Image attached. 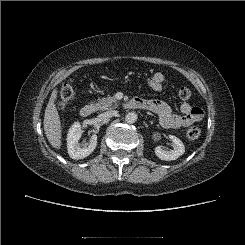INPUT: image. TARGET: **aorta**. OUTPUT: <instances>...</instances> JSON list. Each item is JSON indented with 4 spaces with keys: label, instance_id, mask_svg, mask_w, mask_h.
<instances>
[{
    "label": "aorta",
    "instance_id": "762f6f07",
    "mask_svg": "<svg viewBox=\"0 0 245 245\" xmlns=\"http://www.w3.org/2000/svg\"><path fill=\"white\" fill-rule=\"evenodd\" d=\"M125 121L129 124L135 123L137 121V114L135 112H129L125 117Z\"/></svg>",
    "mask_w": 245,
    "mask_h": 245
}]
</instances>
